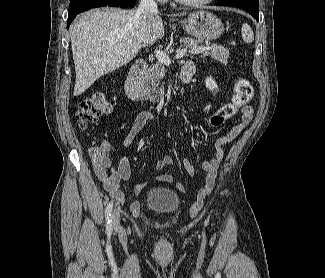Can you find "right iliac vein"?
I'll return each mask as SVG.
<instances>
[{
    "instance_id": "obj_1",
    "label": "right iliac vein",
    "mask_w": 325,
    "mask_h": 278,
    "mask_svg": "<svg viewBox=\"0 0 325 278\" xmlns=\"http://www.w3.org/2000/svg\"><path fill=\"white\" fill-rule=\"evenodd\" d=\"M112 220L114 223V228L115 230H120L121 229V225H120V215H119V211L115 210L112 214Z\"/></svg>"
}]
</instances>
